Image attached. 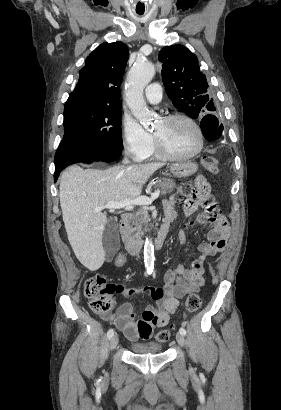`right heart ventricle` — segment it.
<instances>
[{"mask_svg": "<svg viewBox=\"0 0 281 410\" xmlns=\"http://www.w3.org/2000/svg\"><path fill=\"white\" fill-rule=\"evenodd\" d=\"M150 157H159V154L157 153V150H156L154 144L151 146V149H150L148 155L144 159H147V158H150Z\"/></svg>", "mask_w": 281, "mask_h": 410, "instance_id": "e07e8e85", "label": "right heart ventricle"}]
</instances>
